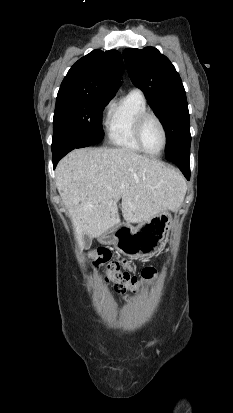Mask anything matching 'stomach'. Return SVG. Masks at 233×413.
<instances>
[{"label":"stomach","mask_w":233,"mask_h":413,"mask_svg":"<svg viewBox=\"0 0 233 413\" xmlns=\"http://www.w3.org/2000/svg\"><path fill=\"white\" fill-rule=\"evenodd\" d=\"M172 224L171 214L163 211L136 227L128 223L117 224L97 238L102 244L114 245L130 258L148 257L164 247Z\"/></svg>","instance_id":"0dacf381"}]
</instances>
